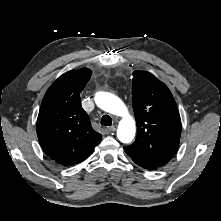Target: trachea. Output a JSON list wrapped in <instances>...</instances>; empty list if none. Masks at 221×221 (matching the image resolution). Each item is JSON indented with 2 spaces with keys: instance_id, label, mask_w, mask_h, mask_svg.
I'll return each mask as SVG.
<instances>
[{
  "instance_id": "obj_1",
  "label": "trachea",
  "mask_w": 221,
  "mask_h": 221,
  "mask_svg": "<svg viewBox=\"0 0 221 221\" xmlns=\"http://www.w3.org/2000/svg\"><path fill=\"white\" fill-rule=\"evenodd\" d=\"M101 125H104V126H110L112 125V119L109 115H104L102 118H101Z\"/></svg>"
}]
</instances>
